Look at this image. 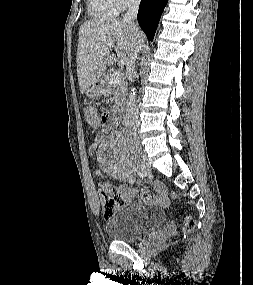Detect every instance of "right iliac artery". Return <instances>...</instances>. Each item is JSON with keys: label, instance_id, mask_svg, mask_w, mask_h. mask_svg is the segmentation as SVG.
Segmentation results:
<instances>
[{"label": "right iliac artery", "instance_id": "1", "mask_svg": "<svg viewBox=\"0 0 253 285\" xmlns=\"http://www.w3.org/2000/svg\"><path fill=\"white\" fill-rule=\"evenodd\" d=\"M127 180L130 184H134L135 183V177L133 175L127 176Z\"/></svg>", "mask_w": 253, "mask_h": 285}]
</instances>
